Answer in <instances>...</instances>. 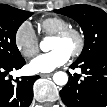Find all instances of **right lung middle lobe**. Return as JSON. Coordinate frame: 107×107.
Masks as SVG:
<instances>
[{
  "label": "right lung middle lobe",
  "mask_w": 107,
  "mask_h": 107,
  "mask_svg": "<svg viewBox=\"0 0 107 107\" xmlns=\"http://www.w3.org/2000/svg\"><path fill=\"white\" fill-rule=\"evenodd\" d=\"M32 14L9 5H0V61L10 63L23 58L16 46L15 36L19 26Z\"/></svg>",
  "instance_id": "right-lung-middle-lobe-1"
}]
</instances>
